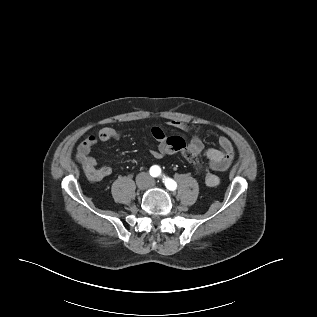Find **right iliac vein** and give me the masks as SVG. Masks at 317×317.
I'll list each match as a JSON object with an SVG mask.
<instances>
[{
    "label": "right iliac vein",
    "instance_id": "63e3f726",
    "mask_svg": "<svg viewBox=\"0 0 317 317\" xmlns=\"http://www.w3.org/2000/svg\"><path fill=\"white\" fill-rule=\"evenodd\" d=\"M136 182L138 189L141 191L145 190L148 185V181L145 175L139 176Z\"/></svg>",
    "mask_w": 317,
    "mask_h": 317
}]
</instances>
